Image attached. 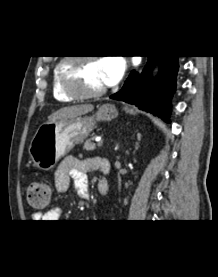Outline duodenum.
Instances as JSON below:
<instances>
[{"label":"duodenum","mask_w":218,"mask_h":277,"mask_svg":"<svg viewBox=\"0 0 218 277\" xmlns=\"http://www.w3.org/2000/svg\"><path fill=\"white\" fill-rule=\"evenodd\" d=\"M97 188L100 194L106 195L110 190L109 182L105 179H101L97 183Z\"/></svg>","instance_id":"410a0bca"}]
</instances>
